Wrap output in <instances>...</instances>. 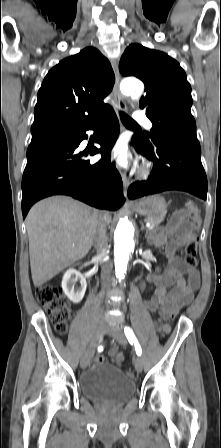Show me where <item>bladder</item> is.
Segmentation results:
<instances>
[{
  "label": "bladder",
  "mask_w": 221,
  "mask_h": 448,
  "mask_svg": "<svg viewBox=\"0 0 221 448\" xmlns=\"http://www.w3.org/2000/svg\"><path fill=\"white\" fill-rule=\"evenodd\" d=\"M79 389L92 402L119 406L134 397L135 383L118 366L101 362L82 374Z\"/></svg>",
  "instance_id": "31cf9c89"
}]
</instances>
